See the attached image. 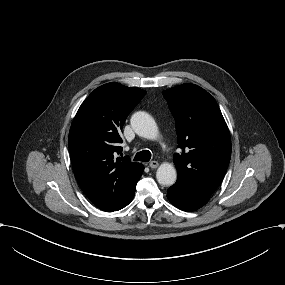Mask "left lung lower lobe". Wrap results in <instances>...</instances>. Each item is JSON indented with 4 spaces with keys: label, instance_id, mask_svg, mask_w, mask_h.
Segmentation results:
<instances>
[{
    "label": "left lung lower lobe",
    "instance_id": "0a47b994",
    "mask_svg": "<svg viewBox=\"0 0 285 285\" xmlns=\"http://www.w3.org/2000/svg\"><path fill=\"white\" fill-rule=\"evenodd\" d=\"M167 198L177 208L184 211H194L204 206L210 196L195 191L185 184L176 181L168 189Z\"/></svg>",
    "mask_w": 285,
    "mask_h": 285
}]
</instances>
